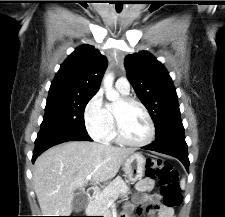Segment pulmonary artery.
<instances>
[{
	"instance_id": "pulmonary-artery-1",
	"label": "pulmonary artery",
	"mask_w": 225,
	"mask_h": 217,
	"mask_svg": "<svg viewBox=\"0 0 225 217\" xmlns=\"http://www.w3.org/2000/svg\"><path fill=\"white\" fill-rule=\"evenodd\" d=\"M115 86L120 92L124 94H128L130 92V83L125 77H120L117 79Z\"/></svg>"
}]
</instances>
